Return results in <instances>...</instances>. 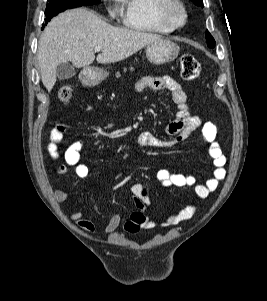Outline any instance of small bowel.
Here are the masks:
<instances>
[{
	"label": "small bowel",
	"mask_w": 267,
	"mask_h": 301,
	"mask_svg": "<svg viewBox=\"0 0 267 301\" xmlns=\"http://www.w3.org/2000/svg\"><path fill=\"white\" fill-rule=\"evenodd\" d=\"M137 92H142L146 89L155 91H164L170 94L173 102L178 107L176 118L171 121L167 127V139H162L154 136L149 132H142L137 138V143L142 147L165 148L172 147L185 139L196 129L201 128L203 141L207 144L208 154L212 159L214 166L212 177L205 183L198 184L193 176L182 173H174L167 169H160L156 178L159 183L166 188L171 187H188L194 186V192L199 199L207 198L212 192L216 191L219 183L226 176V157L222 153L221 147L216 139L217 127L212 122H204L197 115L189 112L187 106V95L183 87L170 76H145L135 84ZM68 126L63 122H57L50 131V139L48 143V151L54 159L60 157L58 145L63 140ZM84 147L82 140L73 142L64 152V164L57 169L58 174L66 175L69 168H73L76 176L80 179H85L89 176V168L84 163L80 162L81 151ZM131 192L135 198L137 211L133 212L128 221L124 223V230L129 233H135L140 229H152L157 226H173L182 221L190 219L195 211L194 205L184 209L177 210L169 214L162 220H155L144 215L146 206L150 204L147 196L143 195V188L140 183H135L131 187ZM55 199L58 202H64L67 198V193L62 189H57L54 192ZM76 225L82 230L93 233L96 229L95 224L85 218L81 211H75L70 215ZM121 224V217L114 212L102 227L104 234H112Z\"/></svg>",
	"instance_id": "obj_1"
}]
</instances>
